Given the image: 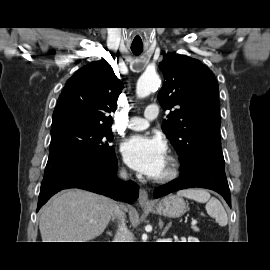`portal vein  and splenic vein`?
<instances>
[{
	"mask_svg": "<svg viewBox=\"0 0 270 270\" xmlns=\"http://www.w3.org/2000/svg\"><path fill=\"white\" fill-rule=\"evenodd\" d=\"M197 224V220L196 219H192L191 225L195 226Z\"/></svg>",
	"mask_w": 270,
	"mask_h": 270,
	"instance_id": "obj_1",
	"label": "portal vein and splenic vein"
}]
</instances>
